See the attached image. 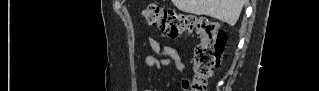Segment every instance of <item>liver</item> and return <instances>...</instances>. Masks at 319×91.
Listing matches in <instances>:
<instances>
[{
  "label": "liver",
  "mask_w": 319,
  "mask_h": 91,
  "mask_svg": "<svg viewBox=\"0 0 319 91\" xmlns=\"http://www.w3.org/2000/svg\"><path fill=\"white\" fill-rule=\"evenodd\" d=\"M181 11L195 15H205L231 26L235 25L245 0H172Z\"/></svg>",
  "instance_id": "1"
}]
</instances>
